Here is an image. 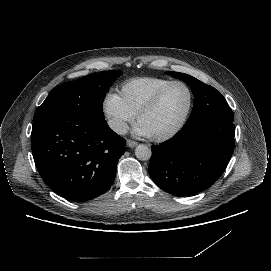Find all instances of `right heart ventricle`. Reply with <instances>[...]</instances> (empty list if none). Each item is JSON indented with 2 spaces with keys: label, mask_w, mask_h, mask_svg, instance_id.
<instances>
[{
  "label": "right heart ventricle",
  "mask_w": 271,
  "mask_h": 271,
  "mask_svg": "<svg viewBox=\"0 0 271 271\" xmlns=\"http://www.w3.org/2000/svg\"><path fill=\"white\" fill-rule=\"evenodd\" d=\"M171 81V78L159 76L132 78L121 84L119 95L131 114L138 116L157 92Z\"/></svg>",
  "instance_id": "e07e8e85"
}]
</instances>
